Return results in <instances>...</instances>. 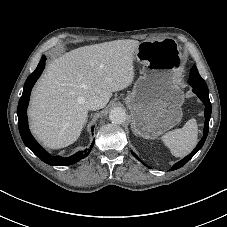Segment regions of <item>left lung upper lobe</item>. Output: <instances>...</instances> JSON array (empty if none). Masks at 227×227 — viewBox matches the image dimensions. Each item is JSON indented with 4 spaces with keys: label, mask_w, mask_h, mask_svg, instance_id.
Segmentation results:
<instances>
[{
    "label": "left lung upper lobe",
    "mask_w": 227,
    "mask_h": 227,
    "mask_svg": "<svg viewBox=\"0 0 227 227\" xmlns=\"http://www.w3.org/2000/svg\"><path fill=\"white\" fill-rule=\"evenodd\" d=\"M192 82L199 83V85L202 88H207V85H206L205 81L199 75L198 70H197L195 65L192 67L191 72H190V81H189V83H192Z\"/></svg>",
    "instance_id": "5c2ea615"
}]
</instances>
